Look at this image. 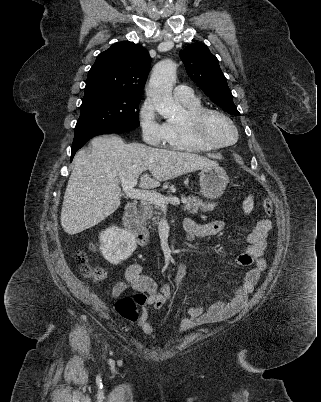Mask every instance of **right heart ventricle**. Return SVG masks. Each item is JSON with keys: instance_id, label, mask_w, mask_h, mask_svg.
I'll return each mask as SVG.
<instances>
[{"instance_id": "right-heart-ventricle-1", "label": "right heart ventricle", "mask_w": 321, "mask_h": 402, "mask_svg": "<svg viewBox=\"0 0 321 402\" xmlns=\"http://www.w3.org/2000/svg\"><path fill=\"white\" fill-rule=\"evenodd\" d=\"M182 104L186 110L185 116L179 120H168L165 122L166 139L164 144L169 148L181 151H208L209 148L195 139L187 122L189 116L205 107L198 98L191 101H182Z\"/></svg>"}]
</instances>
